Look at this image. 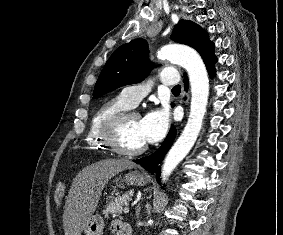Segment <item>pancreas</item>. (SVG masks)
<instances>
[{
  "mask_svg": "<svg viewBox=\"0 0 283 235\" xmlns=\"http://www.w3.org/2000/svg\"><path fill=\"white\" fill-rule=\"evenodd\" d=\"M131 200V195L129 193H125L122 195L117 196L114 199H111L106 208L103 211L105 218H109V215H117L120 214L123 210V206L128 204Z\"/></svg>",
  "mask_w": 283,
  "mask_h": 235,
  "instance_id": "cf45deb5",
  "label": "pancreas"
}]
</instances>
